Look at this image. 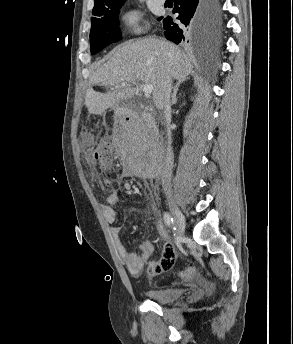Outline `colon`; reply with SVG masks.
<instances>
[{
  "instance_id": "5ec220e1",
  "label": "colon",
  "mask_w": 293,
  "mask_h": 344,
  "mask_svg": "<svg viewBox=\"0 0 293 344\" xmlns=\"http://www.w3.org/2000/svg\"><path fill=\"white\" fill-rule=\"evenodd\" d=\"M85 138H89V132L84 131ZM94 165L96 169L102 173L111 172L114 168L112 145L109 141L100 142L96 148L94 154ZM103 185L107 191L112 192L115 189L114 179L104 178ZM196 274V270L193 267H188L181 273L183 280H189Z\"/></svg>"
}]
</instances>
